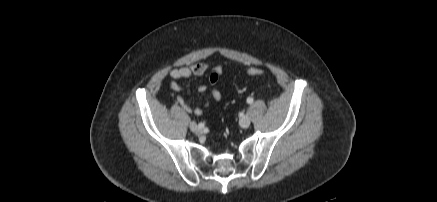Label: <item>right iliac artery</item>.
Segmentation results:
<instances>
[{"label":"right iliac artery","instance_id":"1","mask_svg":"<svg viewBox=\"0 0 437 202\" xmlns=\"http://www.w3.org/2000/svg\"><path fill=\"white\" fill-rule=\"evenodd\" d=\"M199 126H200L201 128H203V127H204V124H203V123H200Z\"/></svg>","mask_w":437,"mask_h":202}]
</instances>
